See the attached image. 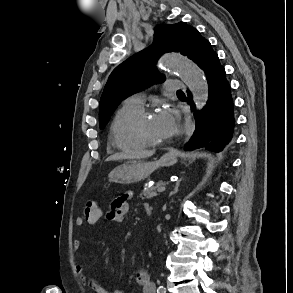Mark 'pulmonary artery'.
<instances>
[{
	"mask_svg": "<svg viewBox=\"0 0 293 293\" xmlns=\"http://www.w3.org/2000/svg\"><path fill=\"white\" fill-rule=\"evenodd\" d=\"M165 88L168 91H176L184 88V84L177 80H169L166 82ZM125 103L142 108L144 103V96L141 94L132 95L126 99Z\"/></svg>",
	"mask_w": 293,
	"mask_h": 293,
	"instance_id": "e3ab8cb5",
	"label": "pulmonary artery"
}]
</instances>
